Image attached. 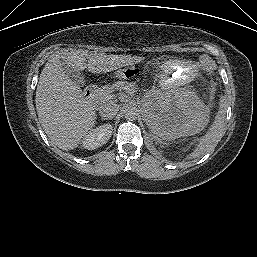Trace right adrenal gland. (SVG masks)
<instances>
[{"mask_svg": "<svg viewBox=\"0 0 257 257\" xmlns=\"http://www.w3.org/2000/svg\"><path fill=\"white\" fill-rule=\"evenodd\" d=\"M101 119H102V120H111L112 118H111V119H108V118H101Z\"/></svg>", "mask_w": 257, "mask_h": 257, "instance_id": "1", "label": "right adrenal gland"}]
</instances>
